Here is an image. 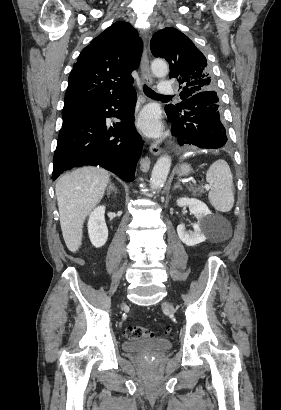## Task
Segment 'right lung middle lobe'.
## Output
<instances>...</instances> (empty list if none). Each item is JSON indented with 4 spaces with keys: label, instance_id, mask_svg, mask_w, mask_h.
Returning <instances> with one entry per match:
<instances>
[{
    "label": "right lung middle lobe",
    "instance_id": "dd1d6c3e",
    "mask_svg": "<svg viewBox=\"0 0 281 410\" xmlns=\"http://www.w3.org/2000/svg\"><path fill=\"white\" fill-rule=\"evenodd\" d=\"M89 107H72L63 109L62 111V118L63 124L69 123L72 120L80 117L81 115L85 114L89 111Z\"/></svg>",
    "mask_w": 281,
    "mask_h": 410
}]
</instances>
